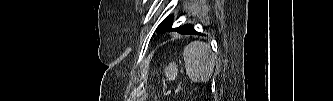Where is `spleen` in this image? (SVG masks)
<instances>
[{
    "label": "spleen",
    "instance_id": "1",
    "mask_svg": "<svg viewBox=\"0 0 333 101\" xmlns=\"http://www.w3.org/2000/svg\"><path fill=\"white\" fill-rule=\"evenodd\" d=\"M183 58L186 74L193 82H207L214 71L215 55L210 46L201 41H193L184 48Z\"/></svg>",
    "mask_w": 333,
    "mask_h": 101
}]
</instances>
